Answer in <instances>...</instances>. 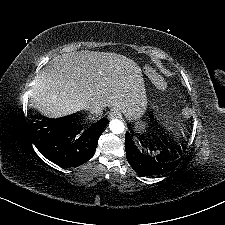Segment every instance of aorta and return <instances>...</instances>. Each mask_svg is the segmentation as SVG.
Returning a JSON list of instances; mask_svg holds the SVG:
<instances>
[{
  "label": "aorta",
  "instance_id": "1",
  "mask_svg": "<svg viewBox=\"0 0 225 225\" xmlns=\"http://www.w3.org/2000/svg\"><path fill=\"white\" fill-rule=\"evenodd\" d=\"M109 128L114 134H122L125 131L124 123L118 119L111 120Z\"/></svg>",
  "mask_w": 225,
  "mask_h": 225
}]
</instances>
